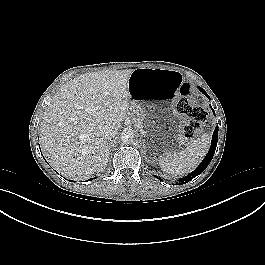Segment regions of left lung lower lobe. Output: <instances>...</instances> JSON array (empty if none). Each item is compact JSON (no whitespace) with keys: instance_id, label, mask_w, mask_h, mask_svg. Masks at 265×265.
Listing matches in <instances>:
<instances>
[{"instance_id":"1","label":"left lung lower lobe","mask_w":265,"mask_h":265,"mask_svg":"<svg viewBox=\"0 0 265 265\" xmlns=\"http://www.w3.org/2000/svg\"><path fill=\"white\" fill-rule=\"evenodd\" d=\"M200 91L202 93H204L208 98H210L208 96V94L201 88L199 87ZM211 107V106H210ZM212 109V107H211ZM213 110V109H212ZM217 141H218V126H216L214 132H213V137H212V142H211V147H210V150L209 152L207 153L206 157L203 159V161L200 163V165L197 167L196 170H194L193 172H191L190 174H188L187 176L183 177V178H180L178 181H177V184H185L189 181H191L194 177L198 176L199 174H201L205 168L209 165V163L211 162L213 156H214V153H215V150H216V146H217ZM156 178H158L156 176ZM160 179V178H158Z\"/></svg>"}]
</instances>
